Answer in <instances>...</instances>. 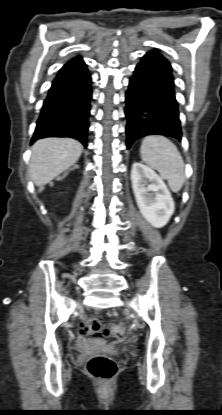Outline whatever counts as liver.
Here are the masks:
<instances>
[{"instance_id": "obj_1", "label": "liver", "mask_w": 222, "mask_h": 415, "mask_svg": "<svg viewBox=\"0 0 222 415\" xmlns=\"http://www.w3.org/2000/svg\"><path fill=\"white\" fill-rule=\"evenodd\" d=\"M83 150L82 144L71 138L49 137L32 146L29 166L36 186H44L74 165Z\"/></svg>"}]
</instances>
